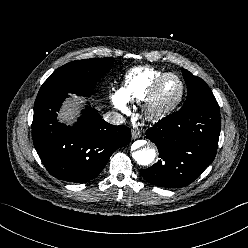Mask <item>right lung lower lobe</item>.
Returning <instances> with one entry per match:
<instances>
[{
  "mask_svg": "<svg viewBox=\"0 0 248 248\" xmlns=\"http://www.w3.org/2000/svg\"><path fill=\"white\" fill-rule=\"evenodd\" d=\"M67 93L37 96L32 136L47 171L57 179L85 183L105 167L111 154L131 141V130L114 126L88 107L73 127L60 124L57 112Z\"/></svg>",
  "mask_w": 248,
  "mask_h": 248,
  "instance_id": "98d812e1",
  "label": "right lung lower lobe"
}]
</instances>
